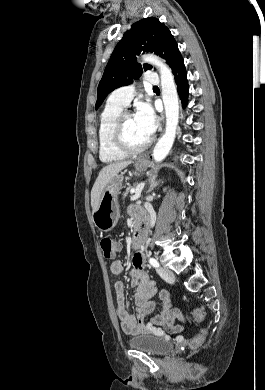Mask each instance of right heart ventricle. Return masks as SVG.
<instances>
[{
    "instance_id": "right-heart-ventricle-1",
    "label": "right heart ventricle",
    "mask_w": 265,
    "mask_h": 390,
    "mask_svg": "<svg viewBox=\"0 0 265 390\" xmlns=\"http://www.w3.org/2000/svg\"><path fill=\"white\" fill-rule=\"evenodd\" d=\"M123 107L107 103L100 115L98 128L99 157L102 162L112 163L125 159L126 155L116 149L112 140V132Z\"/></svg>"
}]
</instances>
